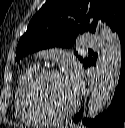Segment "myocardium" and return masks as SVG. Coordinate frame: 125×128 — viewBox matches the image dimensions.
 <instances>
[{"label": "myocardium", "mask_w": 125, "mask_h": 128, "mask_svg": "<svg viewBox=\"0 0 125 128\" xmlns=\"http://www.w3.org/2000/svg\"><path fill=\"white\" fill-rule=\"evenodd\" d=\"M61 72L57 69L47 68L39 71L31 80L29 84V96L35 107V109L43 116L47 121H59L72 115L79 104L78 98H75L72 105L59 112L50 110L44 103L41 96V87L46 80L51 77L60 75Z\"/></svg>", "instance_id": "f54148a6"}]
</instances>
